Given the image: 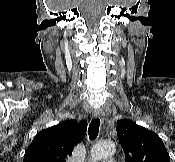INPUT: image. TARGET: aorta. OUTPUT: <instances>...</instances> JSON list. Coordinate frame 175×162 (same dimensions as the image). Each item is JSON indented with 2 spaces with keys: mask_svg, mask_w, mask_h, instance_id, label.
<instances>
[{
  "mask_svg": "<svg viewBox=\"0 0 175 162\" xmlns=\"http://www.w3.org/2000/svg\"><path fill=\"white\" fill-rule=\"evenodd\" d=\"M115 153V145L111 141H99L91 149V161L96 162Z\"/></svg>",
  "mask_w": 175,
  "mask_h": 162,
  "instance_id": "762f6f07",
  "label": "aorta"
}]
</instances>
